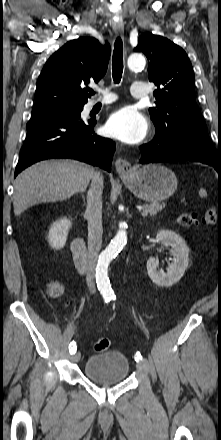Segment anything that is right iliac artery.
Here are the masks:
<instances>
[{"mask_svg": "<svg viewBox=\"0 0 221 440\" xmlns=\"http://www.w3.org/2000/svg\"><path fill=\"white\" fill-rule=\"evenodd\" d=\"M104 299L106 303L111 300L110 298L107 297H105ZM69 348H70V354H74L76 352L77 347L74 341L70 343Z\"/></svg>", "mask_w": 221, "mask_h": 440, "instance_id": "1", "label": "right iliac artery"}]
</instances>
